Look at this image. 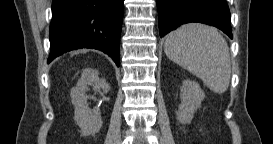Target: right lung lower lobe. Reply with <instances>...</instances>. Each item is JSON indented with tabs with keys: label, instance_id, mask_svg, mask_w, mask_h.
I'll use <instances>...</instances> for the list:
<instances>
[{
	"label": "right lung lower lobe",
	"instance_id": "obj_1",
	"mask_svg": "<svg viewBox=\"0 0 273 144\" xmlns=\"http://www.w3.org/2000/svg\"><path fill=\"white\" fill-rule=\"evenodd\" d=\"M124 0H53L50 55L80 48L98 49L119 66Z\"/></svg>",
	"mask_w": 273,
	"mask_h": 144
}]
</instances>
